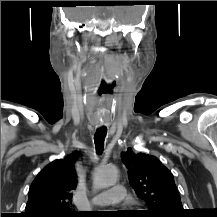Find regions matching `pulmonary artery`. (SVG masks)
Masks as SVG:
<instances>
[{"instance_id": "1", "label": "pulmonary artery", "mask_w": 217, "mask_h": 217, "mask_svg": "<svg viewBox=\"0 0 217 217\" xmlns=\"http://www.w3.org/2000/svg\"><path fill=\"white\" fill-rule=\"evenodd\" d=\"M125 198V188L121 185H115L110 190L101 192L91 199L95 206H107L120 203Z\"/></svg>"}]
</instances>
